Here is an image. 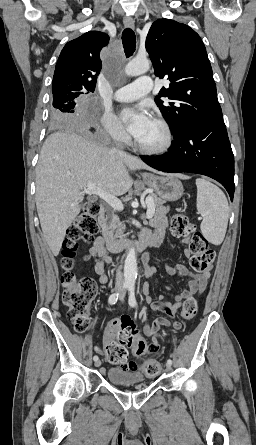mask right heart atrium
<instances>
[{"label":"right heart atrium","mask_w":256,"mask_h":445,"mask_svg":"<svg viewBox=\"0 0 256 445\" xmlns=\"http://www.w3.org/2000/svg\"><path fill=\"white\" fill-rule=\"evenodd\" d=\"M101 124L104 132L111 140L115 142H125L127 140L124 128L111 112L105 111L102 114Z\"/></svg>","instance_id":"right-heart-atrium-1"}]
</instances>
